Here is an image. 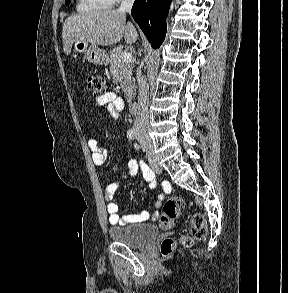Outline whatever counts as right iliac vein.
<instances>
[{"label": "right iliac vein", "mask_w": 288, "mask_h": 293, "mask_svg": "<svg viewBox=\"0 0 288 293\" xmlns=\"http://www.w3.org/2000/svg\"><path fill=\"white\" fill-rule=\"evenodd\" d=\"M143 146L145 147V150L151 160V162L153 163V165L155 166V168L159 171L161 170L159 165H158V162H157V159L156 157L154 156V153H153V146L151 144V142L149 141H144L143 143Z\"/></svg>", "instance_id": "1"}]
</instances>
